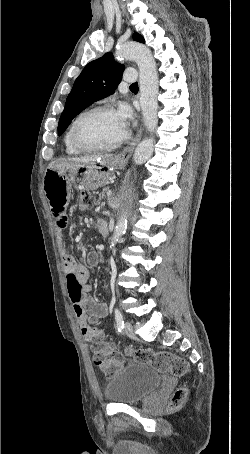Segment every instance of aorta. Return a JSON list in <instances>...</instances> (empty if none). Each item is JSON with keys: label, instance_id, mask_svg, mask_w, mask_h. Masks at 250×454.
I'll use <instances>...</instances> for the list:
<instances>
[{"label": "aorta", "instance_id": "762f6f07", "mask_svg": "<svg viewBox=\"0 0 250 454\" xmlns=\"http://www.w3.org/2000/svg\"><path fill=\"white\" fill-rule=\"evenodd\" d=\"M116 55L118 58L134 60L139 68L140 106L143 121L151 136L141 141L133 155L134 162L138 165L145 163L154 151L153 133L158 124V75L156 62L152 52L145 45L138 42H127L120 45ZM127 229V213L124 212L115 226L110 248L114 247Z\"/></svg>", "mask_w": 250, "mask_h": 454}]
</instances>
